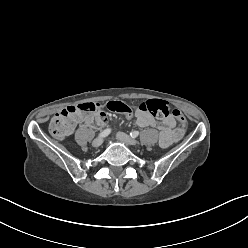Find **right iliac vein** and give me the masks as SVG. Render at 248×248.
Listing matches in <instances>:
<instances>
[{
	"mask_svg": "<svg viewBox=\"0 0 248 248\" xmlns=\"http://www.w3.org/2000/svg\"><path fill=\"white\" fill-rule=\"evenodd\" d=\"M103 143V139L102 138H96L93 142L92 145L93 147H99L101 146Z\"/></svg>",
	"mask_w": 248,
	"mask_h": 248,
	"instance_id": "63e3f726",
	"label": "right iliac vein"
}]
</instances>
